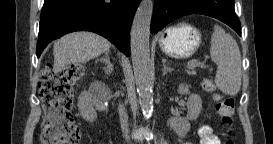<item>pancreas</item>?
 <instances>
[{"mask_svg": "<svg viewBox=\"0 0 273 144\" xmlns=\"http://www.w3.org/2000/svg\"><path fill=\"white\" fill-rule=\"evenodd\" d=\"M187 73L190 74V75H195L196 74L195 71H187Z\"/></svg>", "mask_w": 273, "mask_h": 144, "instance_id": "pancreas-1", "label": "pancreas"}]
</instances>
